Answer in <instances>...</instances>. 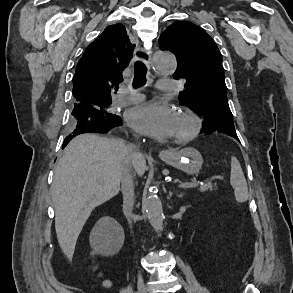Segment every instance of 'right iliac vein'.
Listing matches in <instances>:
<instances>
[{"mask_svg":"<svg viewBox=\"0 0 293 293\" xmlns=\"http://www.w3.org/2000/svg\"><path fill=\"white\" fill-rule=\"evenodd\" d=\"M138 293H146V288H145L142 277H139V280H138Z\"/></svg>","mask_w":293,"mask_h":293,"instance_id":"obj_1","label":"right iliac vein"}]
</instances>
